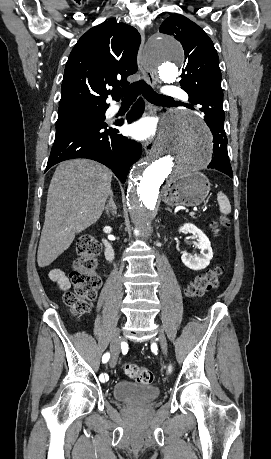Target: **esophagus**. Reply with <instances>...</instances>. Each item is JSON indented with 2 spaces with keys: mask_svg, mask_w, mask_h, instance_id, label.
<instances>
[{
  "mask_svg": "<svg viewBox=\"0 0 271 459\" xmlns=\"http://www.w3.org/2000/svg\"><path fill=\"white\" fill-rule=\"evenodd\" d=\"M141 35V45L138 52V68L141 69L145 80L148 84L154 86L156 84L155 79V70L153 68V61L152 60H143L142 56V49L145 41V33L143 30H140ZM148 115L149 116H156L158 109L154 105L148 104L147 105ZM156 140L153 137L148 138L144 143V150L147 155L153 153L155 148Z\"/></svg>",
  "mask_w": 271,
  "mask_h": 459,
  "instance_id": "esophagus-1",
  "label": "esophagus"
}]
</instances>
